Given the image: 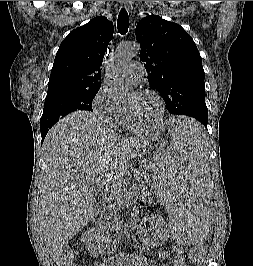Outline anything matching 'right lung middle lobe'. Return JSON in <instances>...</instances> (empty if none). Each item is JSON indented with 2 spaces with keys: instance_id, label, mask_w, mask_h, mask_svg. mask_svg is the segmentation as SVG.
<instances>
[{
  "instance_id": "1",
  "label": "right lung middle lobe",
  "mask_w": 253,
  "mask_h": 266,
  "mask_svg": "<svg viewBox=\"0 0 253 266\" xmlns=\"http://www.w3.org/2000/svg\"><path fill=\"white\" fill-rule=\"evenodd\" d=\"M100 87L66 89L47 93L40 129L51 128L60 118L77 110H92V101Z\"/></svg>"
}]
</instances>
